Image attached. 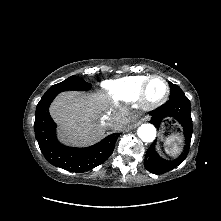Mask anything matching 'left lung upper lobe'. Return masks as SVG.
I'll list each match as a JSON object with an SVG mask.
<instances>
[{"mask_svg":"<svg viewBox=\"0 0 221 221\" xmlns=\"http://www.w3.org/2000/svg\"><path fill=\"white\" fill-rule=\"evenodd\" d=\"M170 84V97H183L185 96L184 92L180 89V87L176 84L169 82Z\"/></svg>","mask_w":221,"mask_h":221,"instance_id":"1","label":"left lung upper lobe"}]
</instances>
